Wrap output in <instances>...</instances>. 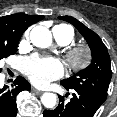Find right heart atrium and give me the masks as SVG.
<instances>
[{"label":"right heart atrium","instance_id":"1","mask_svg":"<svg viewBox=\"0 0 117 117\" xmlns=\"http://www.w3.org/2000/svg\"><path fill=\"white\" fill-rule=\"evenodd\" d=\"M27 36H28V32L25 33V37H27Z\"/></svg>","mask_w":117,"mask_h":117}]
</instances>
